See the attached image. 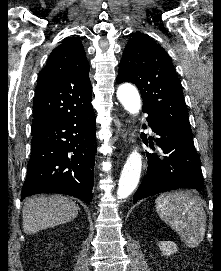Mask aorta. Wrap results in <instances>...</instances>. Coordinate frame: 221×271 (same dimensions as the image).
Instances as JSON below:
<instances>
[{
  "label": "aorta",
  "instance_id": "aorta-1",
  "mask_svg": "<svg viewBox=\"0 0 221 271\" xmlns=\"http://www.w3.org/2000/svg\"><path fill=\"white\" fill-rule=\"evenodd\" d=\"M117 97L131 115L141 109L140 95L132 84H122L117 89ZM142 169V157L137 149L133 150L123 167L117 190L118 199L127 198L137 187Z\"/></svg>",
  "mask_w": 221,
  "mask_h": 271
}]
</instances>
